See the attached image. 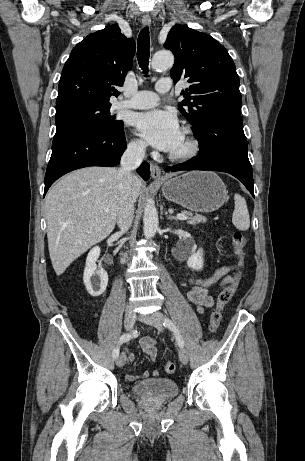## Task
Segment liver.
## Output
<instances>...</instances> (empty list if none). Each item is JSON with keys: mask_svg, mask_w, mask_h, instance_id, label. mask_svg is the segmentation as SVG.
<instances>
[{"mask_svg": "<svg viewBox=\"0 0 305 461\" xmlns=\"http://www.w3.org/2000/svg\"><path fill=\"white\" fill-rule=\"evenodd\" d=\"M118 171L86 167L61 178L45 198L50 259L60 276L91 246L113 231L119 200ZM141 180L133 177L132 193L139 196Z\"/></svg>", "mask_w": 305, "mask_h": 461, "instance_id": "1", "label": "liver"}]
</instances>
